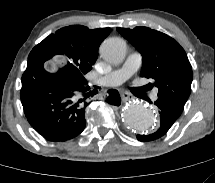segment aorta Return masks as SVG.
I'll use <instances>...</instances> for the list:
<instances>
[{
  "mask_svg": "<svg viewBox=\"0 0 215 183\" xmlns=\"http://www.w3.org/2000/svg\"><path fill=\"white\" fill-rule=\"evenodd\" d=\"M126 42L118 37L106 39L101 47V56L109 63L119 64L126 55ZM122 120L125 126L138 133H146L155 129L157 116L146 104L141 102H130L122 111Z\"/></svg>",
  "mask_w": 215,
  "mask_h": 183,
  "instance_id": "obj_1",
  "label": "aorta"
}]
</instances>
